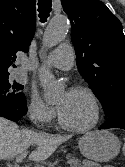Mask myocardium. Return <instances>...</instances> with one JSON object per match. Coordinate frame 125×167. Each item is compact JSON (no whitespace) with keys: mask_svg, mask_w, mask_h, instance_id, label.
Masks as SVG:
<instances>
[{"mask_svg":"<svg viewBox=\"0 0 125 167\" xmlns=\"http://www.w3.org/2000/svg\"><path fill=\"white\" fill-rule=\"evenodd\" d=\"M70 91L73 92H82L84 94H86L92 101L93 106H94V118L91 121L90 124L84 126V127H75L70 125L69 123L66 122V120L64 119V117L62 116L60 110L58 111V121L59 124L62 128L71 131V132H75V133H83L86 131H89L91 129H93L97 123L99 122L100 119V114H101V107H100V102L98 97L96 96V94L93 92V90L85 85H74Z\"/></svg>","mask_w":125,"mask_h":167,"instance_id":"1","label":"myocardium"}]
</instances>
